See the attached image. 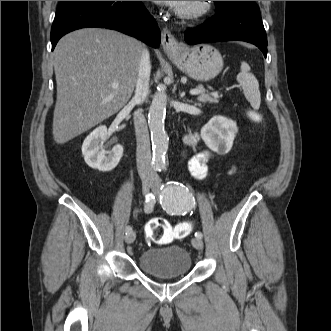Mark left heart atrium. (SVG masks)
Masks as SVG:
<instances>
[{"instance_id": "obj_1", "label": "left heart atrium", "mask_w": 331, "mask_h": 331, "mask_svg": "<svg viewBox=\"0 0 331 331\" xmlns=\"http://www.w3.org/2000/svg\"><path fill=\"white\" fill-rule=\"evenodd\" d=\"M157 4L160 5H168L172 7H179L183 1H154Z\"/></svg>"}]
</instances>
